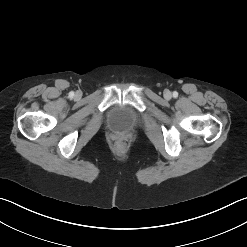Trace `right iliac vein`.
Returning a JSON list of instances; mask_svg holds the SVG:
<instances>
[{"label":"right iliac vein","mask_w":247,"mask_h":247,"mask_svg":"<svg viewBox=\"0 0 247 247\" xmlns=\"http://www.w3.org/2000/svg\"><path fill=\"white\" fill-rule=\"evenodd\" d=\"M80 96V94L79 93H76V97L78 98Z\"/></svg>","instance_id":"63e3f726"}]
</instances>
